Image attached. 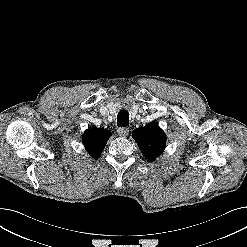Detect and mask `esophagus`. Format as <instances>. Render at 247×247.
Returning a JSON list of instances; mask_svg holds the SVG:
<instances>
[{
	"label": "esophagus",
	"mask_w": 247,
	"mask_h": 247,
	"mask_svg": "<svg viewBox=\"0 0 247 247\" xmlns=\"http://www.w3.org/2000/svg\"><path fill=\"white\" fill-rule=\"evenodd\" d=\"M117 132L121 137H126L128 135V133H129V128L120 127V128H118Z\"/></svg>",
	"instance_id": "esophagus-1"
}]
</instances>
